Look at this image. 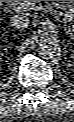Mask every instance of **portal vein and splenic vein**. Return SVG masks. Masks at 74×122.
Here are the masks:
<instances>
[{"label":"portal vein and splenic vein","mask_w":74,"mask_h":122,"mask_svg":"<svg viewBox=\"0 0 74 122\" xmlns=\"http://www.w3.org/2000/svg\"><path fill=\"white\" fill-rule=\"evenodd\" d=\"M15 9H20V7H15ZM31 9H43V6H33ZM47 9H49V11H51L52 14L57 15V11L54 10L52 6H47Z\"/></svg>","instance_id":"portal-vein-and-splenic-vein-1"}]
</instances>
